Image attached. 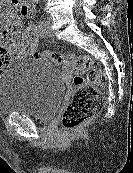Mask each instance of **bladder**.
<instances>
[{
	"label": "bladder",
	"mask_w": 133,
	"mask_h": 173,
	"mask_svg": "<svg viewBox=\"0 0 133 173\" xmlns=\"http://www.w3.org/2000/svg\"><path fill=\"white\" fill-rule=\"evenodd\" d=\"M66 93L60 71L31 59H15L0 76V113H23L41 121L51 119Z\"/></svg>",
	"instance_id": "31cf9c89"
}]
</instances>
